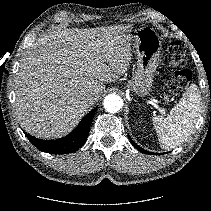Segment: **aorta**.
<instances>
[{"instance_id": "aorta-1", "label": "aorta", "mask_w": 211, "mask_h": 211, "mask_svg": "<svg viewBox=\"0 0 211 211\" xmlns=\"http://www.w3.org/2000/svg\"><path fill=\"white\" fill-rule=\"evenodd\" d=\"M104 108L109 113H117L123 106V100L119 95L110 94L104 99Z\"/></svg>"}]
</instances>
